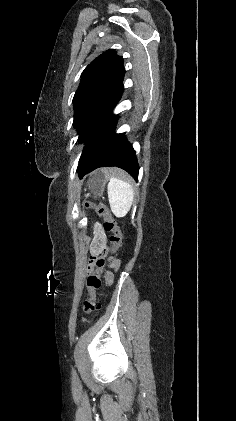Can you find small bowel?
Listing matches in <instances>:
<instances>
[{
  "mask_svg": "<svg viewBox=\"0 0 236 421\" xmlns=\"http://www.w3.org/2000/svg\"><path fill=\"white\" fill-rule=\"evenodd\" d=\"M106 249V235L101 224L96 222L94 224V242L91 247V254L96 255Z\"/></svg>",
  "mask_w": 236,
  "mask_h": 421,
  "instance_id": "obj_1",
  "label": "small bowel"
}]
</instances>
